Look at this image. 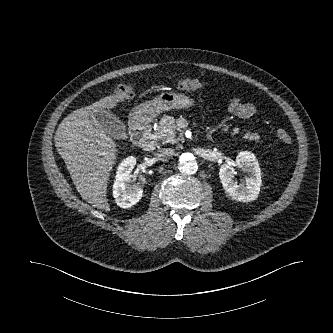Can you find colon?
I'll return each instance as SVG.
<instances>
[{
  "label": "colon",
  "instance_id": "obj_1",
  "mask_svg": "<svg viewBox=\"0 0 333 333\" xmlns=\"http://www.w3.org/2000/svg\"><path fill=\"white\" fill-rule=\"evenodd\" d=\"M177 87L178 89L184 91H194L201 87V82L196 78L184 77L178 82ZM133 94L134 88L129 84L120 85L114 92L115 97L119 100H128L133 97ZM276 137L281 143L285 145L291 143V136L284 129H278L276 131Z\"/></svg>",
  "mask_w": 333,
  "mask_h": 333
}]
</instances>
